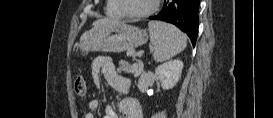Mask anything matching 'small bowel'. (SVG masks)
I'll use <instances>...</instances> for the list:
<instances>
[{"mask_svg": "<svg viewBox=\"0 0 273 118\" xmlns=\"http://www.w3.org/2000/svg\"><path fill=\"white\" fill-rule=\"evenodd\" d=\"M92 76L97 87L101 86V76L117 92L128 94L131 92V81L120 75L116 69L114 61L106 56L96 57L92 62ZM100 103L97 99L88 102L90 112L85 114V118H94L92 111L99 109ZM122 118H142L139 101L134 96H126L118 105ZM104 118H118L116 110L107 106L104 110Z\"/></svg>", "mask_w": 273, "mask_h": 118, "instance_id": "obj_1", "label": "small bowel"}]
</instances>
